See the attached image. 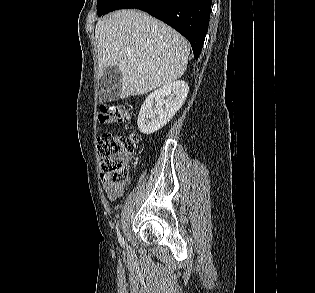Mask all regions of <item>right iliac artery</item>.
<instances>
[{
	"label": "right iliac artery",
	"instance_id": "1",
	"mask_svg": "<svg viewBox=\"0 0 315 293\" xmlns=\"http://www.w3.org/2000/svg\"><path fill=\"white\" fill-rule=\"evenodd\" d=\"M116 229H117V234H118L119 242H120L121 246H124V245H125V241H124V239L122 238V236H121L120 233H119V230H118V223H117V225H116Z\"/></svg>",
	"mask_w": 315,
	"mask_h": 293
}]
</instances>
